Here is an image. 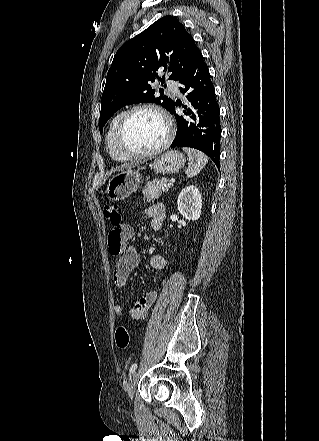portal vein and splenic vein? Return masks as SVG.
<instances>
[{
	"instance_id": "1",
	"label": "portal vein and splenic vein",
	"mask_w": 319,
	"mask_h": 441,
	"mask_svg": "<svg viewBox=\"0 0 319 441\" xmlns=\"http://www.w3.org/2000/svg\"><path fill=\"white\" fill-rule=\"evenodd\" d=\"M168 187H173V183H168Z\"/></svg>"
}]
</instances>
